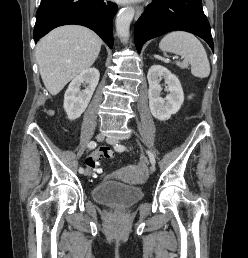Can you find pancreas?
<instances>
[{"label":"pancreas","instance_id":"obj_1","mask_svg":"<svg viewBox=\"0 0 248 258\" xmlns=\"http://www.w3.org/2000/svg\"><path fill=\"white\" fill-rule=\"evenodd\" d=\"M176 65H178V66H181V63H179V62H176Z\"/></svg>","mask_w":248,"mask_h":258}]
</instances>
